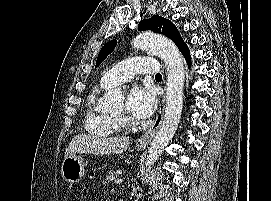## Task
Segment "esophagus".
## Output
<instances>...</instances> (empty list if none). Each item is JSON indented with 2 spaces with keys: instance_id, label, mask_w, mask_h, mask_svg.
Returning a JSON list of instances; mask_svg holds the SVG:
<instances>
[{
  "instance_id": "esophagus-1",
  "label": "esophagus",
  "mask_w": 271,
  "mask_h": 201,
  "mask_svg": "<svg viewBox=\"0 0 271 201\" xmlns=\"http://www.w3.org/2000/svg\"><path fill=\"white\" fill-rule=\"evenodd\" d=\"M166 84V77H163V85L165 87ZM164 109H165V97H163L160 105H159V109H158V113L157 116L152 124V126L150 127L149 130H147L142 136H140L137 141L136 144L139 146H146L154 137V135L156 134V132L158 131L162 120H163V116H164Z\"/></svg>"
}]
</instances>
